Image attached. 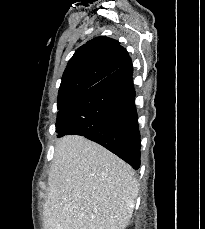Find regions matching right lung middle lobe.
<instances>
[{
    "label": "right lung middle lobe",
    "instance_id": "1",
    "mask_svg": "<svg viewBox=\"0 0 205 229\" xmlns=\"http://www.w3.org/2000/svg\"><path fill=\"white\" fill-rule=\"evenodd\" d=\"M75 99V98H74ZM74 99H66L64 101H62L61 103H58V109H62L64 108L65 106H67L71 101H73Z\"/></svg>",
    "mask_w": 205,
    "mask_h": 229
}]
</instances>
